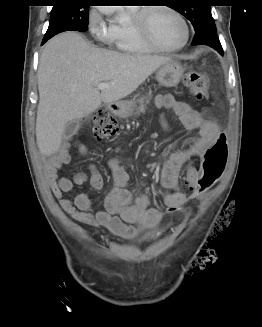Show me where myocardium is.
I'll return each mask as SVG.
<instances>
[{
  "label": "myocardium",
  "instance_id": "f54148a6",
  "mask_svg": "<svg viewBox=\"0 0 262 327\" xmlns=\"http://www.w3.org/2000/svg\"><path fill=\"white\" fill-rule=\"evenodd\" d=\"M163 9L171 12L174 14L183 24L184 30H185V37L184 41L176 46V47H165L159 44L155 38L153 37L150 28H149V15L152 11ZM133 25L138 32V34L141 36V38L154 50L160 51V52H176L183 49L189 42L190 39V27L183 16L181 12H179L176 8L169 6V5H152L141 8L135 15L133 19Z\"/></svg>",
  "mask_w": 262,
  "mask_h": 327
}]
</instances>
